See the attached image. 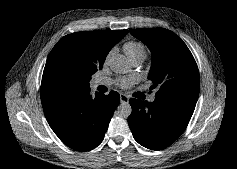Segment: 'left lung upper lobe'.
<instances>
[{
	"label": "left lung upper lobe",
	"instance_id": "5c2ea615",
	"mask_svg": "<svg viewBox=\"0 0 237 169\" xmlns=\"http://www.w3.org/2000/svg\"><path fill=\"white\" fill-rule=\"evenodd\" d=\"M130 33L146 44L152 53L148 78L155 98L197 102L200 78L197 64L186 44L164 28L132 29Z\"/></svg>",
	"mask_w": 237,
	"mask_h": 169
}]
</instances>
